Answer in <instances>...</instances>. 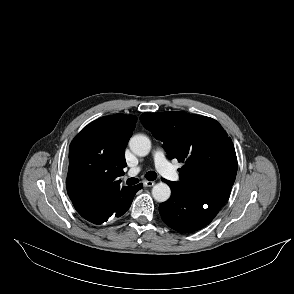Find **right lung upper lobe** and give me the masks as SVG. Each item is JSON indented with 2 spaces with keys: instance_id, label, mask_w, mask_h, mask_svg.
Wrapping results in <instances>:
<instances>
[{
  "instance_id": "obj_1",
  "label": "right lung upper lobe",
  "mask_w": 294,
  "mask_h": 294,
  "mask_svg": "<svg viewBox=\"0 0 294 294\" xmlns=\"http://www.w3.org/2000/svg\"><path fill=\"white\" fill-rule=\"evenodd\" d=\"M136 121L134 115L101 117L71 142L66 186L78 213L106 206L128 188H121L117 177L124 174L125 148Z\"/></svg>"
}]
</instances>
